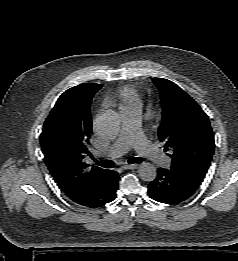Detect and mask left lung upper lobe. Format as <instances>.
I'll use <instances>...</instances> for the list:
<instances>
[{"label": "left lung upper lobe", "mask_w": 238, "mask_h": 261, "mask_svg": "<svg viewBox=\"0 0 238 261\" xmlns=\"http://www.w3.org/2000/svg\"><path fill=\"white\" fill-rule=\"evenodd\" d=\"M162 99V122L158 137L172 158L171 170L200 185L215 149L213 131L206 113L178 85L153 78Z\"/></svg>", "instance_id": "left-lung-upper-lobe-1"}]
</instances>
